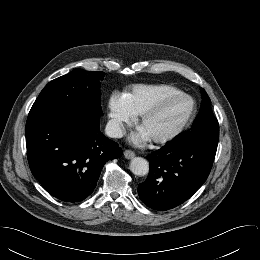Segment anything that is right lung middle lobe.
<instances>
[{
  "label": "right lung middle lobe",
  "instance_id": "obj_1",
  "mask_svg": "<svg viewBox=\"0 0 260 260\" xmlns=\"http://www.w3.org/2000/svg\"><path fill=\"white\" fill-rule=\"evenodd\" d=\"M104 72L74 69L49 82L31 109L42 107L78 108L102 114L100 83Z\"/></svg>",
  "mask_w": 260,
  "mask_h": 260
}]
</instances>
